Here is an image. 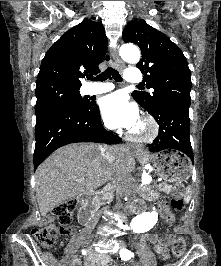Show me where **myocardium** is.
<instances>
[{
    "label": "myocardium",
    "instance_id": "obj_1",
    "mask_svg": "<svg viewBox=\"0 0 221 266\" xmlns=\"http://www.w3.org/2000/svg\"><path fill=\"white\" fill-rule=\"evenodd\" d=\"M159 128L156 121L151 117L142 120L138 130L129 132V138L136 142H146L152 140L158 134Z\"/></svg>",
    "mask_w": 221,
    "mask_h": 266
}]
</instances>
